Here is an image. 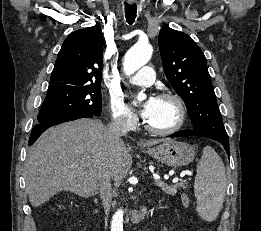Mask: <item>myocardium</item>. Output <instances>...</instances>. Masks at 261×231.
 <instances>
[{
    "instance_id": "myocardium-1",
    "label": "myocardium",
    "mask_w": 261,
    "mask_h": 231,
    "mask_svg": "<svg viewBox=\"0 0 261 231\" xmlns=\"http://www.w3.org/2000/svg\"><path fill=\"white\" fill-rule=\"evenodd\" d=\"M157 98L169 99L175 103L178 110V120L172 127L168 129H158L149 125L148 122L144 119L143 120L144 128L152 134L161 135V136L171 135L178 132L183 127L187 118V109L183 99L179 95L170 92L160 93L157 96Z\"/></svg>"
}]
</instances>
